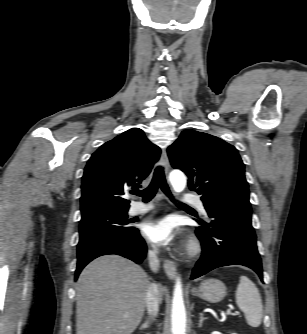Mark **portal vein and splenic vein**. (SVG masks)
Segmentation results:
<instances>
[{"label": "portal vein and splenic vein", "instance_id": "portal-vein-and-splenic-vein-1", "mask_svg": "<svg viewBox=\"0 0 307 334\" xmlns=\"http://www.w3.org/2000/svg\"><path fill=\"white\" fill-rule=\"evenodd\" d=\"M227 314L229 315V314H231V311H230V309H228V311H227Z\"/></svg>", "mask_w": 307, "mask_h": 334}]
</instances>
